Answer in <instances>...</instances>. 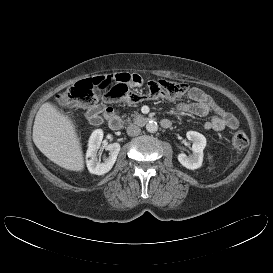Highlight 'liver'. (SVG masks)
Listing matches in <instances>:
<instances>
[{"label": "liver", "mask_w": 273, "mask_h": 273, "mask_svg": "<svg viewBox=\"0 0 273 273\" xmlns=\"http://www.w3.org/2000/svg\"><path fill=\"white\" fill-rule=\"evenodd\" d=\"M33 142L60 167L71 171L84 169L83 151L73 120L50 102L44 103L36 114Z\"/></svg>", "instance_id": "obj_1"}]
</instances>
